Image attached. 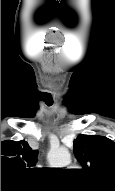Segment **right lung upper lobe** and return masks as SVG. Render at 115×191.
Instances as JSON below:
<instances>
[{
  "label": "right lung upper lobe",
  "mask_w": 115,
  "mask_h": 191,
  "mask_svg": "<svg viewBox=\"0 0 115 191\" xmlns=\"http://www.w3.org/2000/svg\"><path fill=\"white\" fill-rule=\"evenodd\" d=\"M38 152L25 140L1 142V183L19 181L37 162Z\"/></svg>",
  "instance_id": "cb5924a9"
}]
</instances>
